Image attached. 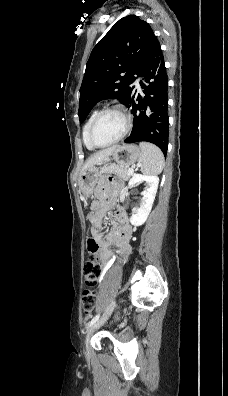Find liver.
Returning <instances> with one entry per match:
<instances>
[{"label": "liver", "instance_id": "obj_1", "mask_svg": "<svg viewBox=\"0 0 228 396\" xmlns=\"http://www.w3.org/2000/svg\"><path fill=\"white\" fill-rule=\"evenodd\" d=\"M118 148L117 145H114L112 147L106 148L104 150H101L99 152H96L95 154H93L92 156H90L87 161L85 162L81 173L86 170L89 167H92L96 164H98L99 162H101L102 160H104L105 158H107L108 156H110L116 149Z\"/></svg>", "mask_w": 228, "mask_h": 396}]
</instances>
